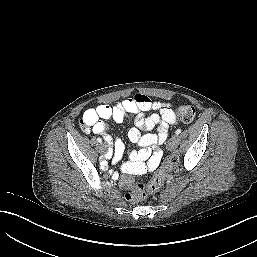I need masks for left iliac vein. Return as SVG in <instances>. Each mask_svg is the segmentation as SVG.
I'll return each mask as SVG.
<instances>
[{
    "label": "left iliac vein",
    "mask_w": 257,
    "mask_h": 257,
    "mask_svg": "<svg viewBox=\"0 0 257 257\" xmlns=\"http://www.w3.org/2000/svg\"><path fill=\"white\" fill-rule=\"evenodd\" d=\"M179 136L176 134V135H174L171 139H170V141H169V143H168V146L170 147V148H175V147H177V145L179 144Z\"/></svg>",
    "instance_id": "left-iliac-vein-1"
}]
</instances>
